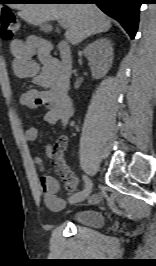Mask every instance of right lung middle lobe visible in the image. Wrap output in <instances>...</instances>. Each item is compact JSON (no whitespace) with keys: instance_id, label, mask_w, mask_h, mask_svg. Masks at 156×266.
Listing matches in <instances>:
<instances>
[{"instance_id":"obj_1","label":"right lung middle lobe","mask_w":156,"mask_h":266,"mask_svg":"<svg viewBox=\"0 0 156 266\" xmlns=\"http://www.w3.org/2000/svg\"><path fill=\"white\" fill-rule=\"evenodd\" d=\"M5 0H1L0 2L2 3V2H4ZM22 1H27V0H22Z\"/></svg>"}]
</instances>
